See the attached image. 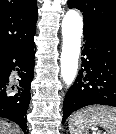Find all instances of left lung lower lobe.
<instances>
[{
    "mask_svg": "<svg viewBox=\"0 0 116 134\" xmlns=\"http://www.w3.org/2000/svg\"><path fill=\"white\" fill-rule=\"evenodd\" d=\"M82 65L63 103V121L90 105L116 107V33L84 28Z\"/></svg>",
    "mask_w": 116,
    "mask_h": 134,
    "instance_id": "0a47b994",
    "label": "left lung lower lobe"
}]
</instances>
